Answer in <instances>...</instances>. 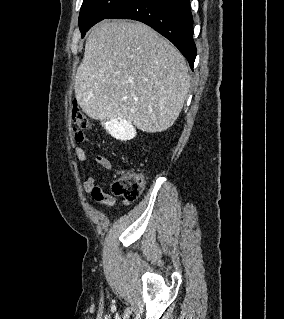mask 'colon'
I'll use <instances>...</instances> for the list:
<instances>
[{"mask_svg": "<svg viewBox=\"0 0 284 319\" xmlns=\"http://www.w3.org/2000/svg\"><path fill=\"white\" fill-rule=\"evenodd\" d=\"M73 123L80 129H88L90 121L86 115L74 107L71 113ZM145 185V177L140 172L119 171L112 183V192L127 200H136L142 193Z\"/></svg>", "mask_w": 284, "mask_h": 319, "instance_id": "1", "label": "colon"}]
</instances>
